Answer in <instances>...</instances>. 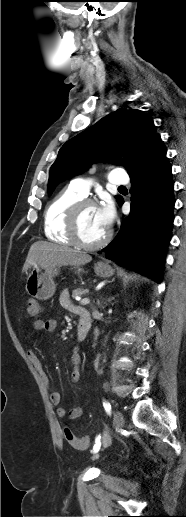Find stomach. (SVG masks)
<instances>
[{"label":"stomach","instance_id":"obj_1","mask_svg":"<svg viewBox=\"0 0 186 517\" xmlns=\"http://www.w3.org/2000/svg\"><path fill=\"white\" fill-rule=\"evenodd\" d=\"M77 272H83L80 267H75ZM59 266H51L47 268H33L29 273L26 281L27 293L39 300H47L52 297L56 290L53 278L59 274ZM95 273L103 278L110 277L114 274L112 267L104 262H98L94 266Z\"/></svg>","mask_w":186,"mask_h":517}]
</instances>
